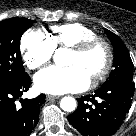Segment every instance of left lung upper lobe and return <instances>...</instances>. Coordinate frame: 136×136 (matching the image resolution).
<instances>
[{"label":"left lung upper lobe","instance_id":"left-lung-upper-lobe-1","mask_svg":"<svg viewBox=\"0 0 136 136\" xmlns=\"http://www.w3.org/2000/svg\"><path fill=\"white\" fill-rule=\"evenodd\" d=\"M104 31L114 48V69L104 84L117 81H133V63L125 44L108 29Z\"/></svg>","mask_w":136,"mask_h":136}]
</instances>
